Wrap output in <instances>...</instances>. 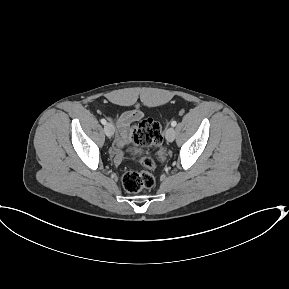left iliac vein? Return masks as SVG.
<instances>
[{
	"instance_id": "4c4485c4",
	"label": "left iliac vein",
	"mask_w": 289,
	"mask_h": 289,
	"mask_svg": "<svg viewBox=\"0 0 289 289\" xmlns=\"http://www.w3.org/2000/svg\"><path fill=\"white\" fill-rule=\"evenodd\" d=\"M175 135L176 133L173 127H169L166 130V139L168 142H172L175 139Z\"/></svg>"
}]
</instances>
